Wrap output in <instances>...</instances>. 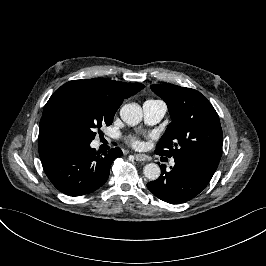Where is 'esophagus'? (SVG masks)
Listing matches in <instances>:
<instances>
[{
	"label": "esophagus",
	"mask_w": 266,
	"mask_h": 266,
	"mask_svg": "<svg viewBox=\"0 0 266 266\" xmlns=\"http://www.w3.org/2000/svg\"><path fill=\"white\" fill-rule=\"evenodd\" d=\"M134 157H135L136 161H140V162L147 161V157L145 155H143V154L135 153Z\"/></svg>",
	"instance_id": "1"
}]
</instances>
